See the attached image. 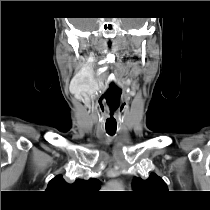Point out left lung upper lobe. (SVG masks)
Instances as JSON below:
<instances>
[{"label":"left lung upper lobe","instance_id":"5c2ea615","mask_svg":"<svg viewBox=\"0 0 210 210\" xmlns=\"http://www.w3.org/2000/svg\"><path fill=\"white\" fill-rule=\"evenodd\" d=\"M132 186L134 191L141 193H157L168 190L167 185L162 178L154 173H152L146 180L134 177Z\"/></svg>","mask_w":210,"mask_h":210}]
</instances>
